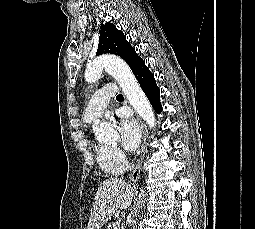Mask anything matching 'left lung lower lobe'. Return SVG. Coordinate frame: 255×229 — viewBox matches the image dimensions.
<instances>
[{
	"label": "left lung lower lobe",
	"mask_w": 255,
	"mask_h": 229,
	"mask_svg": "<svg viewBox=\"0 0 255 229\" xmlns=\"http://www.w3.org/2000/svg\"><path fill=\"white\" fill-rule=\"evenodd\" d=\"M141 88L149 99L152 107L157 113H160L162 106L160 103V90L155 82L154 75L145 65V62L140 58L132 69Z\"/></svg>",
	"instance_id": "0a47b994"
}]
</instances>
